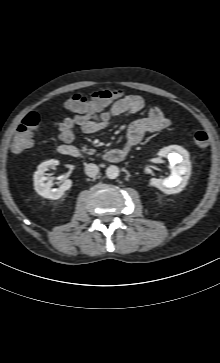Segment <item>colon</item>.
<instances>
[{
	"mask_svg": "<svg viewBox=\"0 0 220 363\" xmlns=\"http://www.w3.org/2000/svg\"><path fill=\"white\" fill-rule=\"evenodd\" d=\"M123 95L124 92L121 89L98 90L89 96L76 93L67 100L66 105L72 110H81L88 99H94L98 104L104 106L122 98ZM39 124L40 116L36 112H30L22 119L11 143L14 152H22L34 144V133ZM194 141L197 146L206 147L209 143V136L204 131H197L194 134Z\"/></svg>",
	"mask_w": 220,
	"mask_h": 363,
	"instance_id": "1",
	"label": "colon"
}]
</instances>
